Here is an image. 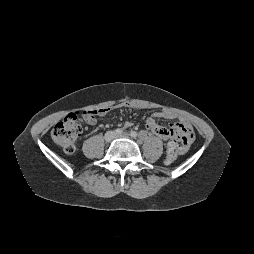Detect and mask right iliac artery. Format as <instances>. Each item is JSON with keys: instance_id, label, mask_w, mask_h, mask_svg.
Segmentation results:
<instances>
[{"instance_id": "82829eb1", "label": "right iliac artery", "mask_w": 254, "mask_h": 254, "mask_svg": "<svg viewBox=\"0 0 254 254\" xmlns=\"http://www.w3.org/2000/svg\"><path fill=\"white\" fill-rule=\"evenodd\" d=\"M115 133H116L117 135H121V134L123 133V131H122V129L117 128V129L115 130Z\"/></svg>"}]
</instances>
